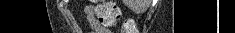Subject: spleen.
Returning a JSON list of instances; mask_svg holds the SVG:
<instances>
[{
  "instance_id": "spleen-1",
  "label": "spleen",
  "mask_w": 235,
  "mask_h": 33,
  "mask_svg": "<svg viewBox=\"0 0 235 33\" xmlns=\"http://www.w3.org/2000/svg\"><path fill=\"white\" fill-rule=\"evenodd\" d=\"M148 2H149V0H147V3H146V5H143L142 7H140V9H145L146 7H147V5H148ZM139 9V8H138Z\"/></svg>"
}]
</instances>
